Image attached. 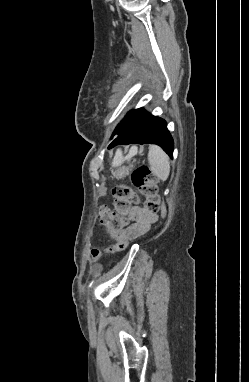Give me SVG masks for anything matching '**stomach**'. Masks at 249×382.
I'll list each match as a JSON object with an SVG mask.
<instances>
[{
	"instance_id": "obj_1",
	"label": "stomach",
	"mask_w": 249,
	"mask_h": 382,
	"mask_svg": "<svg viewBox=\"0 0 249 382\" xmlns=\"http://www.w3.org/2000/svg\"><path fill=\"white\" fill-rule=\"evenodd\" d=\"M122 164H123V159L117 163H114L113 161V166L117 168L115 171L114 170L112 171L114 178L121 179L129 174L130 166H122Z\"/></svg>"
}]
</instances>
